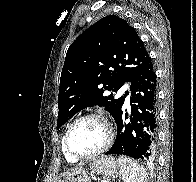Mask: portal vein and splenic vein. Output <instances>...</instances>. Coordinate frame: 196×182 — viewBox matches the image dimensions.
I'll list each match as a JSON object with an SVG mask.
<instances>
[{
    "mask_svg": "<svg viewBox=\"0 0 196 182\" xmlns=\"http://www.w3.org/2000/svg\"><path fill=\"white\" fill-rule=\"evenodd\" d=\"M101 182H106L105 180H102Z\"/></svg>",
    "mask_w": 196,
    "mask_h": 182,
    "instance_id": "1",
    "label": "portal vein and splenic vein"
}]
</instances>
